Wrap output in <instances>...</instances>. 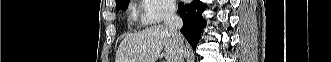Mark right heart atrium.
I'll return each mask as SVG.
<instances>
[{"instance_id":"obj_1","label":"right heart atrium","mask_w":331,"mask_h":62,"mask_svg":"<svg viewBox=\"0 0 331 62\" xmlns=\"http://www.w3.org/2000/svg\"><path fill=\"white\" fill-rule=\"evenodd\" d=\"M175 9L172 0H141L139 15L143 24H155L170 18Z\"/></svg>"}]
</instances>
